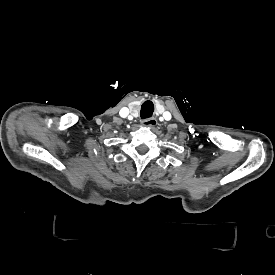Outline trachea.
<instances>
[{
    "instance_id": "1",
    "label": "trachea",
    "mask_w": 275,
    "mask_h": 275,
    "mask_svg": "<svg viewBox=\"0 0 275 275\" xmlns=\"http://www.w3.org/2000/svg\"><path fill=\"white\" fill-rule=\"evenodd\" d=\"M154 112V104L151 101H145L141 106L140 116L146 119L152 116Z\"/></svg>"
}]
</instances>
